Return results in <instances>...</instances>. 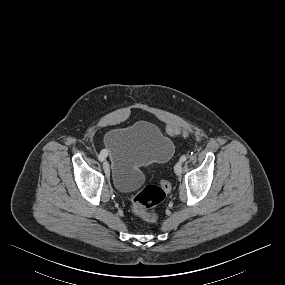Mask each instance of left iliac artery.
Wrapping results in <instances>:
<instances>
[{"instance_id":"44dca946","label":"left iliac artery","mask_w":285,"mask_h":285,"mask_svg":"<svg viewBox=\"0 0 285 285\" xmlns=\"http://www.w3.org/2000/svg\"><path fill=\"white\" fill-rule=\"evenodd\" d=\"M186 159H187L186 155H182V156L180 157V161H181V162L186 161Z\"/></svg>"}]
</instances>
